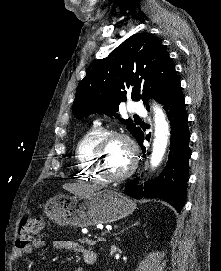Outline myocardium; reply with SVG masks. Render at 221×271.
I'll list each match as a JSON object with an SVG mask.
<instances>
[{"mask_svg":"<svg viewBox=\"0 0 221 271\" xmlns=\"http://www.w3.org/2000/svg\"><path fill=\"white\" fill-rule=\"evenodd\" d=\"M110 137H103L100 141V145H96V153L92 156V169L95 170V175H100L102 178H129L132 175V170H138V149L139 146L135 145L133 137H130L129 133L126 132H111ZM112 142H122V150H129V155H136V157L131 158V165H129V170H125L124 173H114L113 175H108V170L102 165V156L105 155L106 145H111Z\"/></svg>","mask_w":221,"mask_h":271,"instance_id":"obj_1","label":"myocardium"}]
</instances>
